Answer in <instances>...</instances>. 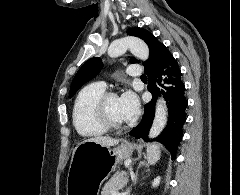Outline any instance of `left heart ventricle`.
Wrapping results in <instances>:
<instances>
[{
    "label": "left heart ventricle",
    "instance_id": "1",
    "mask_svg": "<svg viewBox=\"0 0 240 195\" xmlns=\"http://www.w3.org/2000/svg\"><path fill=\"white\" fill-rule=\"evenodd\" d=\"M109 112L113 120L116 122L120 123H125L126 121L124 120L122 110H121V105H120V100L119 98H113L109 102Z\"/></svg>",
    "mask_w": 240,
    "mask_h": 195
}]
</instances>
